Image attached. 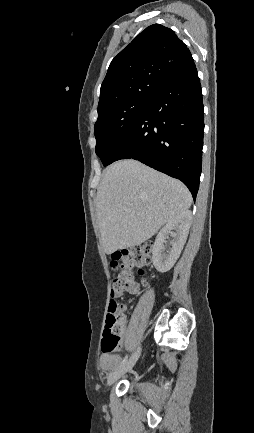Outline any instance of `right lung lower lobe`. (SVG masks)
<instances>
[{"label": "right lung lower lobe", "mask_w": 254, "mask_h": 433, "mask_svg": "<svg viewBox=\"0 0 254 433\" xmlns=\"http://www.w3.org/2000/svg\"><path fill=\"white\" fill-rule=\"evenodd\" d=\"M204 106L194 62L182 68L150 99L119 142L109 162L135 159L181 180L193 199L199 188Z\"/></svg>", "instance_id": "right-lung-lower-lobe-1"}]
</instances>
